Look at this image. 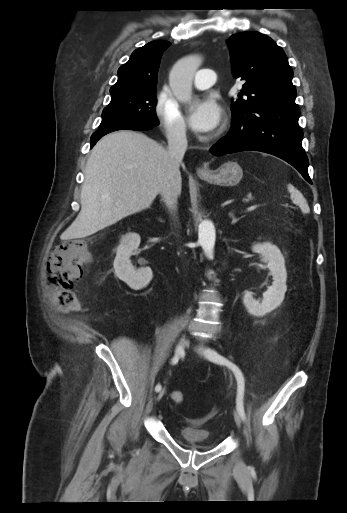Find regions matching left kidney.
Masks as SVG:
<instances>
[{"instance_id": "left-kidney-1", "label": "left kidney", "mask_w": 347, "mask_h": 513, "mask_svg": "<svg viewBox=\"0 0 347 513\" xmlns=\"http://www.w3.org/2000/svg\"><path fill=\"white\" fill-rule=\"evenodd\" d=\"M252 251L259 253L261 261L267 263V267L273 276V283L263 294L261 303L254 299L253 293L249 291H245L243 303L249 314L264 316L279 307L284 300L287 291L285 260L279 248L270 242L255 244Z\"/></svg>"}]
</instances>
